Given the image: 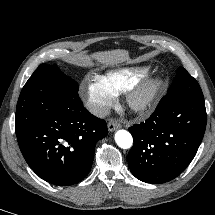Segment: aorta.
<instances>
[{"mask_svg":"<svg viewBox=\"0 0 215 215\" xmlns=\"http://www.w3.org/2000/svg\"><path fill=\"white\" fill-rule=\"evenodd\" d=\"M115 141L120 148L128 149L133 144V138L131 134L126 130H118L115 133Z\"/></svg>","mask_w":215,"mask_h":215,"instance_id":"obj_1","label":"aorta"}]
</instances>
